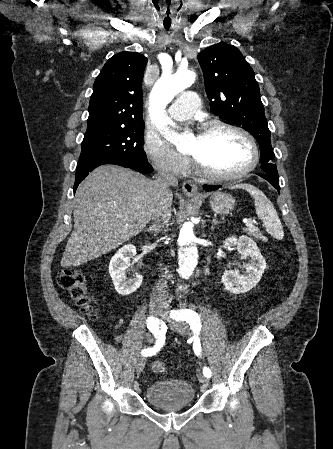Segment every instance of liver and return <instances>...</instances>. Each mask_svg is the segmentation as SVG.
<instances>
[{
	"label": "liver",
	"instance_id": "6515ba94",
	"mask_svg": "<svg viewBox=\"0 0 333 449\" xmlns=\"http://www.w3.org/2000/svg\"><path fill=\"white\" fill-rule=\"evenodd\" d=\"M156 200L155 181L121 167H97L76 190L74 231L61 265L83 264L139 234L150 221ZM172 200L169 191L170 207Z\"/></svg>",
	"mask_w": 333,
	"mask_h": 449
}]
</instances>
